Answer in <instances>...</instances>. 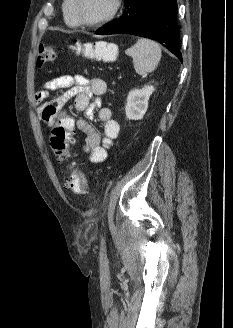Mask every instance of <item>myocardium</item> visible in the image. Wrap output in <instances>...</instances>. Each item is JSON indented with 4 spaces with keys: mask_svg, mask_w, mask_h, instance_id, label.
I'll use <instances>...</instances> for the list:
<instances>
[{
    "mask_svg": "<svg viewBox=\"0 0 233 328\" xmlns=\"http://www.w3.org/2000/svg\"><path fill=\"white\" fill-rule=\"evenodd\" d=\"M122 7V0H113V7L111 11L106 15L104 18L95 21V22H88L85 21L80 14V0H74V14L76 17V20L79 25L85 26V27H98L101 25H104L111 20H113L117 14L119 13L120 9Z\"/></svg>",
    "mask_w": 233,
    "mask_h": 328,
    "instance_id": "f54148a6",
    "label": "myocardium"
}]
</instances>
